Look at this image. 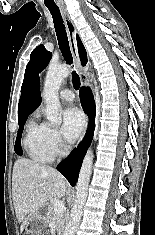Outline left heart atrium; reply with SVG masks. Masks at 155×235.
<instances>
[{
    "label": "left heart atrium",
    "mask_w": 155,
    "mask_h": 235,
    "mask_svg": "<svg viewBox=\"0 0 155 235\" xmlns=\"http://www.w3.org/2000/svg\"><path fill=\"white\" fill-rule=\"evenodd\" d=\"M85 123L82 112L77 108H68L63 112L62 132L70 141L78 138Z\"/></svg>",
    "instance_id": "39dd6f15"
}]
</instances>
